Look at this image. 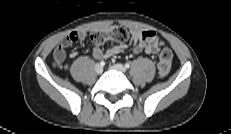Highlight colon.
I'll return each mask as SVG.
<instances>
[{
  "label": "colon",
  "instance_id": "5ec220e1",
  "mask_svg": "<svg viewBox=\"0 0 231 134\" xmlns=\"http://www.w3.org/2000/svg\"><path fill=\"white\" fill-rule=\"evenodd\" d=\"M108 37H110L112 40L116 42L122 43L129 39V34L125 29L115 26L108 33L95 32L91 34L90 39L95 44H102L105 42V40ZM172 57H173L172 52L168 48H164L160 52L159 62H158V74L161 78L166 77L170 72ZM58 65L63 66L64 64H58Z\"/></svg>",
  "mask_w": 231,
  "mask_h": 134
}]
</instances>
